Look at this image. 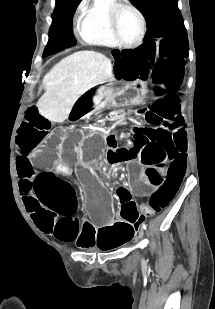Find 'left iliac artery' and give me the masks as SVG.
Segmentation results:
<instances>
[{"label": "left iliac artery", "mask_w": 215, "mask_h": 309, "mask_svg": "<svg viewBox=\"0 0 215 309\" xmlns=\"http://www.w3.org/2000/svg\"><path fill=\"white\" fill-rule=\"evenodd\" d=\"M142 227H143L144 229H146V224H145V223H142Z\"/></svg>", "instance_id": "left-iliac-artery-1"}]
</instances>
